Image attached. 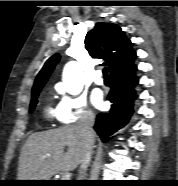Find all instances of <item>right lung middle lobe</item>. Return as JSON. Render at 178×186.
Wrapping results in <instances>:
<instances>
[{
  "mask_svg": "<svg viewBox=\"0 0 178 186\" xmlns=\"http://www.w3.org/2000/svg\"><path fill=\"white\" fill-rule=\"evenodd\" d=\"M39 92L40 91L32 94V100H31V104H30V112H33V110L37 104V98H38Z\"/></svg>",
  "mask_w": 178,
  "mask_h": 186,
  "instance_id": "obj_1",
  "label": "right lung middle lobe"
}]
</instances>
